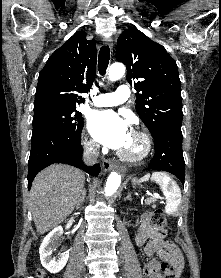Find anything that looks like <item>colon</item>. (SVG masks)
I'll return each instance as SVG.
<instances>
[{
	"label": "colon",
	"instance_id": "5ec220e1",
	"mask_svg": "<svg viewBox=\"0 0 221 278\" xmlns=\"http://www.w3.org/2000/svg\"><path fill=\"white\" fill-rule=\"evenodd\" d=\"M150 221L154 226L165 229L167 227V219L164 213L160 209H156L150 214ZM161 270L165 278H175L176 268L175 266L168 261H165L161 264ZM38 276L40 278H49L45 273L39 272Z\"/></svg>",
	"mask_w": 221,
	"mask_h": 278
}]
</instances>
